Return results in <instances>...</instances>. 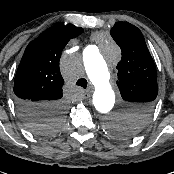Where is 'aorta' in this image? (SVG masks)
I'll return each instance as SVG.
<instances>
[{"label": "aorta", "instance_id": "aorta-1", "mask_svg": "<svg viewBox=\"0 0 174 174\" xmlns=\"http://www.w3.org/2000/svg\"><path fill=\"white\" fill-rule=\"evenodd\" d=\"M120 57L119 47L112 40L106 38L105 59L110 63H116ZM105 59L98 53L84 51L85 70L94 86L93 104L100 114L103 128L111 132L112 124L120 122L125 114L110 113L115 101V95L110 84V74Z\"/></svg>", "mask_w": 174, "mask_h": 174}]
</instances>
